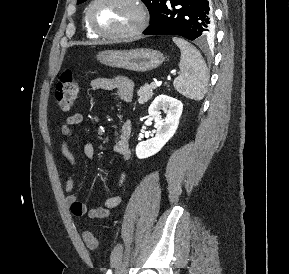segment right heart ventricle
Returning a JSON list of instances; mask_svg holds the SVG:
<instances>
[{"label": "right heart ventricle", "mask_w": 289, "mask_h": 274, "mask_svg": "<svg viewBox=\"0 0 289 274\" xmlns=\"http://www.w3.org/2000/svg\"><path fill=\"white\" fill-rule=\"evenodd\" d=\"M84 28L86 30V33L90 36V37H96V34H94L90 28L87 25L86 19H84Z\"/></svg>", "instance_id": "right-heart-ventricle-1"}]
</instances>
